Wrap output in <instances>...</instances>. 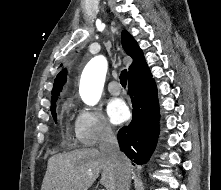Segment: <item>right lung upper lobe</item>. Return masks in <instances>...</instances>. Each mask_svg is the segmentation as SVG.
Instances as JSON below:
<instances>
[{
	"mask_svg": "<svg viewBox=\"0 0 221 190\" xmlns=\"http://www.w3.org/2000/svg\"><path fill=\"white\" fill-rule=\"evenodd\" d=\"M121 42L126 53L133 58V63L129 67V80L145 77L150 74L142 50L139 48L134 38L127 32L123 31ZM66 82V70L57 75L52 89L51 102L57 100L62 87Z\"/></svg>",
	"mask_w": 221,
	"mask_h": 190,
	"instance_id": "right-lung-upper-lobe-1",
	"label": "right lung upper lobe"
}]
</instances>
